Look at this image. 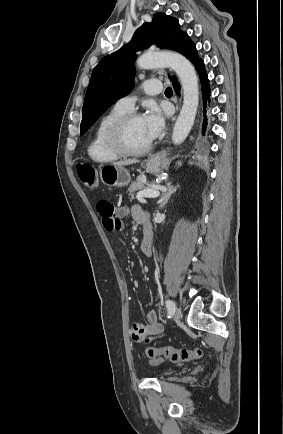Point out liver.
Listing matches in <instances>:
<instances>
[{"mask_svg":"<svg viewBox=\"0 0 283 434\" xmlns=\"http://www.w3.org/2000/svg\"><path fill=\"white\" fill-rule=\"evenodd\" d=\"M138 161L136 159H132V160H125V161H119V162H114L113 165L115 166H127V165H131L134 163H137Z\"/></svg>","mask_w":283,"mask_h":434,"instance_id":"obj_1","label":"liver"}]
</instances>
